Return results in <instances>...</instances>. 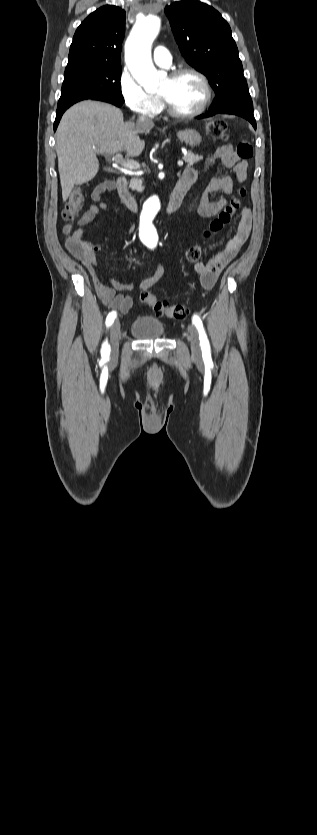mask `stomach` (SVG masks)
Listing matches in <instances>:
<instances>
[{
    "mask_svg": "<svg viewBox=\"0 0 317 835\" xmlns=\"http://www.w3.org/2000/svg\"><path fill=\"white\" fill-rule=\"evenodd\" d=\"M177 137L181 140V142L190 147H196L202 141L200 134L193 129L180 130L177 132Z\"/></svg>",
    "mask_w": 317,
    "mask_h": 835,
    "instance_id": "obj_1",
    "label": "stomach"
}]
</instances>
